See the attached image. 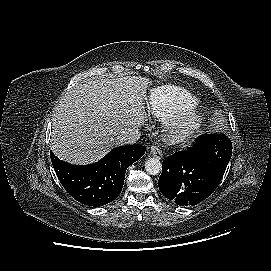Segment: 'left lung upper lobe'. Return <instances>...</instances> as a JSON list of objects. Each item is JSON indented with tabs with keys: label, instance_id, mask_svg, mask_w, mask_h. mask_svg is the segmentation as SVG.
Segmentation results:
<instances>
[{
	"label": "left lung upper lobe",
	"instance_id": "1",
	"mask_svg": "<svg viewBox=\"0 0 271 271\" xmlns=\"http://www.w3.org/2000/svg\"><path fill=\"white\" fill-rule=\"evenodd\" d=\"M203 158L215 166L226 170L232 155V144L227 136L220 141L208 142L202 146Z\"/></svg>",
	"mask_w": 271,
	"mask_h": 271
}]
</instances>
